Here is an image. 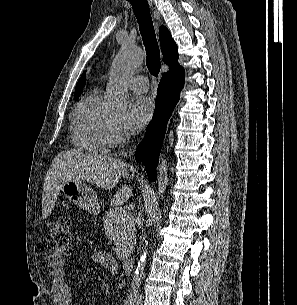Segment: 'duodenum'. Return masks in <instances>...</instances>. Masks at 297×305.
Wrapping results in <instances>:
<instances>
[{
  "label": "duodenum",
  "instance_id": "obj_1",
  "mask_svg": "<svg viewBox=\"0 0 297 305\" xmlns=\"http://www.w3.org/2000/svg\"><path fill=\"white\" fill-rule=\"evenodd\" d=\"M122 265H123L124 272L126 274H130L132 272V268H133V258L130 256L124 257L122 259Z\"/></svg>",
  "mask_w": 297,
  "mask_h": 305
}]
</instances>
